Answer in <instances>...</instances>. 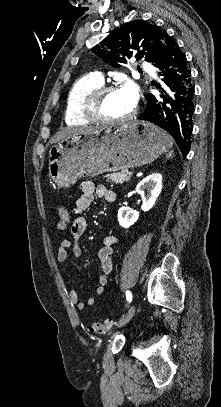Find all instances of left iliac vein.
<instances>
[{
  "label": "left iliac vein",
  "instance_id": "4c4485c4",
  "mask_svg": "<svg viewBox=\"0 0 221 407\" xmlns=\"http://www.w3.org/2000/svg\"><path fill=\"white\" fill-rule=\"evenodd\" d=\"M135 313V306L131 305L125 315V317L121 320V322L117 325V328H121L126 325L134 316Z\"/></svg>",
  "mask_w": 221,
  "mask_h": 407
}]
</instances>
